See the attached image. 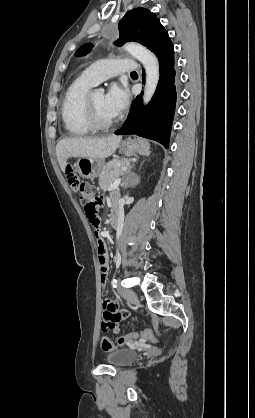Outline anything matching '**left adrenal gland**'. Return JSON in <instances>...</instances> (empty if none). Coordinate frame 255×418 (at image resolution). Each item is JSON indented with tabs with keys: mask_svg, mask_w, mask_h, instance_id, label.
I'll return each mask as SVG.
<instances>
[{
	"mask_svg": "<svg viewBox=\"0 0 255 418\" xmlns=\"http://www.w3.org/2000/svg\"><path fill=\"white\" fill-rule=\"evenodd\" d=\"M135 166V162L129 167V169H128V171H127V173H130V171H131V169L133 168ZM134 176H136L135 174H133ZM136 185V183H129V179H125L123 182H122V186L124 187V188H128V187H130V186H135Z\"/></svg>",
	"mask_w": 255,
	"mask_h": 418,
	"instance_id": "obj_1",
	"label": "left adrenal gland"
}]
</instances>
